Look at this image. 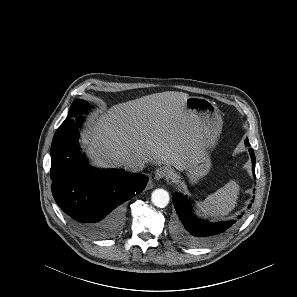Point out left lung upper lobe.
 Returning a JSON list of instances; mask_svg holds the SVG:
<instances>
[{
  "instance_id": "left-lung-upper-lobe-1",
  "label": "left lung upper lobe",
  "mask_w": 297,
  "mask_h": 297,
  "mask_svg": "<svg viewBox=\"0 0 297 297\" xmlns=\"http://www.w3.org/2000/svg\"><path fill=\"white\" fill-rule=\"evenodd\" d=\"M245 143L249 144L248 139L245 140ZM250 145V144H249Z\"/></svg>"
}]
</instances>
